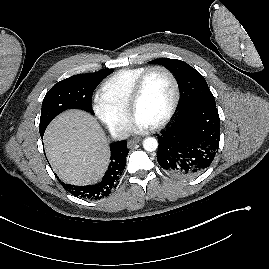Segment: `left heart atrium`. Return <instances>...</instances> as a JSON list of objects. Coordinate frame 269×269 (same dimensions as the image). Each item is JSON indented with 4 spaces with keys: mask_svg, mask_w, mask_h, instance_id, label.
I'll use <instances>...</instances> for the list:
<instances>
[{
    "mask_svg": "<svg viewBox=\"0 0 269 269\" xmlns=\"http://www.w3.org/2000/svg\"><path fill=\"white\" fill-rule=\"evenodd\" d=\"M134 127L137 131H143L147 128H149V126L145 123H143L142 121L135 119L134 121Z\"/></svg>",
    "mask_w": 269,
    "mask_h": 269,
    "instance_id": "left-heart-atrium-1",
    "label": "left heart atrium"
}]
</instances>
